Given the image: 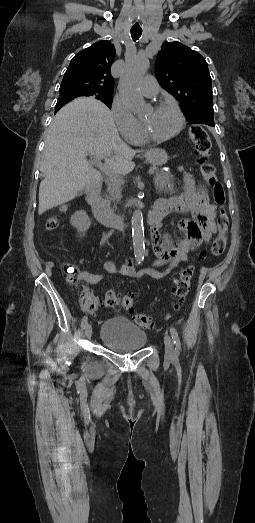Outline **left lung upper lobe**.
<instances>
[{"mask_svg":"<svg viewBox=\"0 0 255 523\" xmlns=\"http://www.w3.org/2000/svg\"><path fill=\"white\" fill-rule=\"evenodd\" d=\"M155 72L160 86L181 102L190 123L215 126L211 77L198 52L179 42L164 43Z\"/></svg>","mask_w":255,"mask_h":523,"instance_id":"left-lung-upper-lobe-1","label":"left lung upper lobe"}]
</instances>
